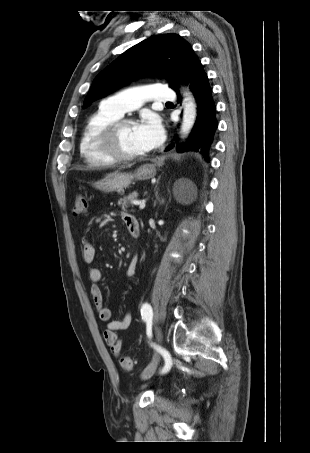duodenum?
I'll return each instance as SVG.
<instances>
[{"label":"duodenum","mask_w":310,"mask_h":453,"mask_svg":"<svg viewBox=\"0 0 310 453\" xmlns=\"http://www.w3.org/2000/svg\"><path fill=\"white\" fill-rule=\"evenodd\" d=\"M128 231L132 237H138L139 232H140V226L139 224L132 225L128 228Z\"/></svg>","instance_id":"obj_1"}]
</instances>
